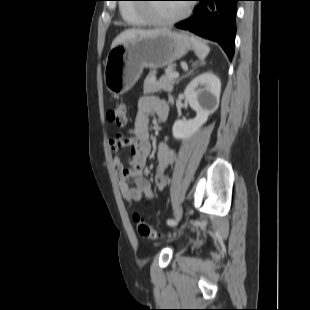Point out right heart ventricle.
Here are the masks:
<instances>
[{"label":"right heart ventricle","mask_w":310,"mask_h":310,"mask_svg":"<svg viewBox=\"0 0 310 310\" xmlns=\"http://www.w3.org/2000/svg\"><path fill=\"white\" fill-rule=\"evenodd\" d=\"M120 13L129 26L138 27L151 23L149 18H147L139 8L131 4H121Z\"/></svg>","instance_id":"right-heart-ventricle-1"}]
</instances>
